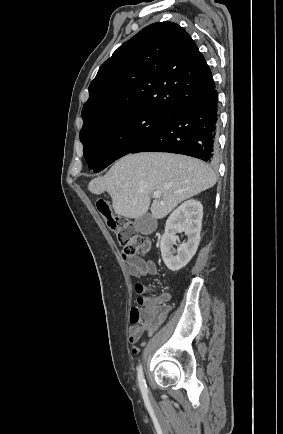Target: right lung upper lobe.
<instances>
[{"label": "right lung upper lobe", "instance_id": "cb5924a9", "mask_svg": "<svg viewBox=\"0 0 283 434\" xmlns=\"http://www.w3.org/2000/svg\"><path fill=\"white\" fill-rule=\"evenodd\" d=\"M215 87L191 36L172 22L142 29L106 60L89 86L83 127L139 110L172 114Z\"/></svg>", "mask_w": 283, "mask_h": 434}]
</instances>
